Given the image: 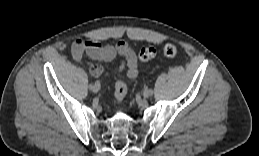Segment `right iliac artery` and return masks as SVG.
Returning a JSON list of instances; mask_svg holds the SVG:
<instances>
[{
  "instance_id": "82829eb1",
  "label": "right iliac artery",
  "mask_w": 259,
  "mask_h": 156,
  "mask_svg": "<svg viewBox=\"0 0 259 156\" xmlns=\"http://www.w3.org/2000/svg\"><path fill=\"white\" fill-rule=\"evenodd\" d=\"M93 87H92V84H89L88 85V90H91Z\"/></svg>"
}]
</instances>
